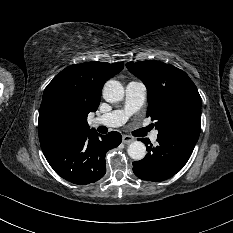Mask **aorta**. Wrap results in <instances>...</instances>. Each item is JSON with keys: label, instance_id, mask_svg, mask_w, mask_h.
I'll return each mask as SVG.
<instances>
[{"label": "aorta", "instance_id": "762f6f07", "mask_svg": "<svg viewBox=\"0 0 233 233\" xmlns=\"http://www.w3.org/2000/svg\"><path fill=\"white\" fill-rule=\"evenodd\" d=\"M103 97L107 102L114 103L124 97V88L116 80H109L103 87ZM128 155L136 160H142L146 156V146L141 141H134L128 146Z\"/></svg>", "mask_w": 233, "mask_h": 233}]
</instances>
